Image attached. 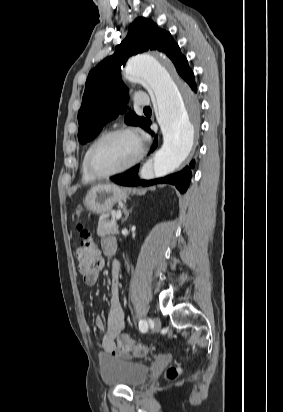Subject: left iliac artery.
<instances>
[{"label": "left iliac artery", "mask_w": 283, "mask_h": 412, "mask_svg": "<svg viewBox=\"0 0 283 412\" xmlns=\"http://www.w3.org/2000/svg\"><path fill=\"white\" fill-rule=\"evenodd\" d=\"M139 329H140V331L141 332H146L147 331V329H148V324H147V322L145 321V320H140L139 321Z\"/></svg>", "instance_id": "44dca946"}]
</instances>
